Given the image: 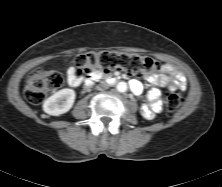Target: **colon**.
I'll return each mask as SVG.
<instances>
[{"label": "colon", "instance_id": "1", "mask_svg": "<svg viewBox=\"0 0 222 187\" xmlns=\"http://www.w3.org/2000/svg\"><path fill=\"white\" fill-rule=\"evenodd\" d=\"M72 65L85 78L117 69L131 75L152 74L161 67L160 63L151 57L109 51L81 54L73 59ZM62 84L63 78L59 72L37 67L28 75L24 95L28 102L39 104L49 92L59 89ZM180 104L181 96L178 93L167 95L165 105L168 111H176Z\"/></svg>", "mask_w": 222, "mask_h": 187}]
</instances>
